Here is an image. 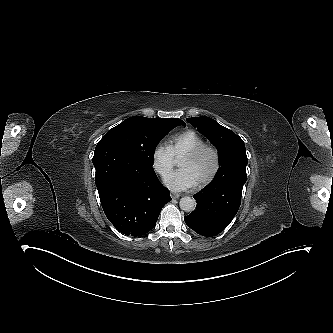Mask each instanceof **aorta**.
<instances>
[{"mask_svg": "<svg viewBox=\"0 0 333 333\" xmlns=\"http://www.w3.org/2000/svg\"><path fill=\"white\" fill-rule=\"evenodd\" d=\"M179 206L185 212H191L195 209L196 202L193 198L185 196L180 199Z\"/></svg>", "mask_w": 333, "mask_h": 333, "instance_id": "obj_1", "label": "aorta"}]
</instances>
